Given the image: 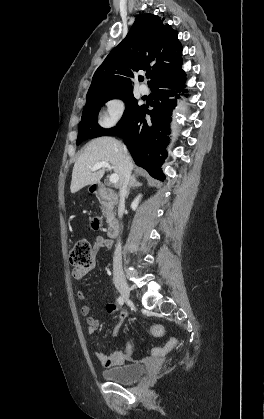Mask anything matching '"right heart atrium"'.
Instances as JSON below:
<instances>
[{
	"instance_id": "d8ad5b80",
	"label": "right heart atrium",
	"mask_w": 264,
	"mask_h": 419,
	"mask_svg": "<svg viewBox=\"0 0 264 419\" xmlns=\"http://www.w3.org/2000/svg\"><path fill=\"white\" fill-rule=\"evenodd\" d=\"M126 101L122 97L110 98L100 116V124L103 128H111L117 125L126 112Z\"/></svg>"
}]
</instances>
